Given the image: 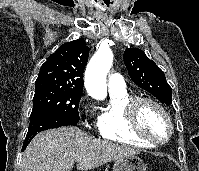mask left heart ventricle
Wrapping results in <instances>:
<instances>
[{
    "mask_svg": "<svg viewBox=\"0 0 199 171\" xmlns=\"http://www.w3.org/2000/svg\"><path fill=\"white\" fill-rule=\"evenodd\" d=\"M143 128L153 137L164 139L169 128L164 116L153 106L145 105L141 114Z\"/></svg>",
    "mask_w": 199,
    "mask_h": 171,
    "instance_id": "b2bd125f",
    "label": "left heart ventricle"
}]
</instances>
